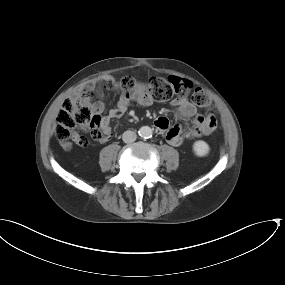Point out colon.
Returning a JSON list of instances; mask_svg holds the SVG:
<instances>
[{"instance_id": "1", "label": "colon", "mask_w": 285, "mask_h": 285, "mask_svg": "<svg viewBox=\"0 0 285 285\" xmlns=\"http://www.w3.org/2000/svg\"><path fill=\"white\" fill-rule=\"evenodd\" d=\"M124 94L133 95L138 92L148 93L158 101H167L175 96H184L191 91L192 102L202 108L211 107V99L201 88H194V84L185 78L169 76L167 78H152L145 84H138L132 77H124L116 84ZM113 86V82L106 81L104 87ZM94 97V89L91 85H84L79 89V99L66 100L58 114L55 127L57 138L67 143L73 137V131L78 128L83 132H89L94 141L105 138V130L100 125L99 119L90 112L88 101ZM216 127V121L212 118L206 123L205 133H209Z\"/></svg>"}]
</instances>
